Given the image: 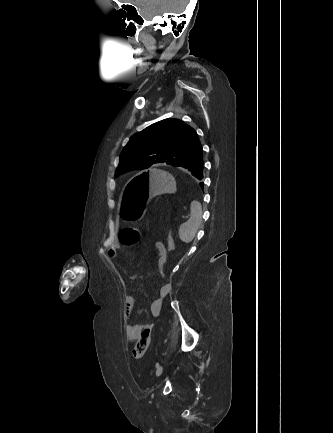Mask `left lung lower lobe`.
<instances>
[{
	"mask_svg": "<svg viewBox=\"0 0 333 433\" xmlns=\"http://www.w3.org/2000/svg\"><path fill=\"white\" fill-rule=\"evenodd\" d=\"M199 180L203 179V153L201 149L181 166ZM202 185V183L200 184Z\"/></svg>",
	"mask_w": 333,
	"mask_h": 433,
	"instance_id": "obj_1",
	"label": "left lung lower lobe"
}]
</instances>
